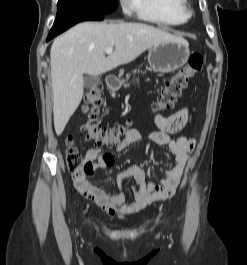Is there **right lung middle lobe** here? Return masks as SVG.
Instances as JSON below:
<instances>
[{"instance_id":"dd1d6c3e","label":"right lung middle lobe","mask_w":247,"mask_h":265,"mask_svg":"<svg viewBox=\"0 0 247 265\" xmlns=\"http://www.w3.org/2000/svg\"><path fill=\"white\" fill-rule=\"evenodd\" d=\"M117 0H59L57 16L77 13H96L105 15L117 8Z\"/></svg>"}]
</instances>
